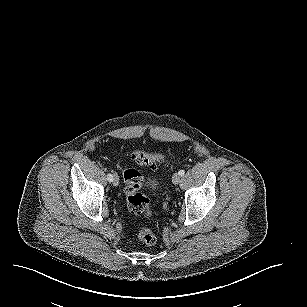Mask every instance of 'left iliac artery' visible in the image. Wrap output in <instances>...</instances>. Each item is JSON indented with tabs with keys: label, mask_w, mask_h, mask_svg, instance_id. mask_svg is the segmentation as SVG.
Returning <instances> with one entry per match:
<instances>
[{
	"label": "left iliac artery",
	"mask_w": 307,
	"mask_h": 307,
	"mask_svg": "<svg viewBox=\"0 0 307 307\" xmlns=\"http://www.w3.org/2000/svg\"><path fill=\"white\" fill-rule=\"evenodd\" d=\"M178 173H179L181 176H183V175L185 174V171H184V170H180Z\"/></svg>",
	"instance_id": "44dca946"
}]
</instances>
